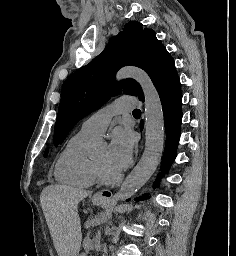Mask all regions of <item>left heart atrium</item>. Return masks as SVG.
I'll return each mask as SVG.
<instances>
[{
    "label": "left heart atrium",
    "mask_w": 236,
    "mask_h": 256,
    "mask_svg": "<svg viewBox=\"0 0 236 256\" xmlns=\"http://www.w3.org/2000/svg\"><path fill=\"white\" fill-rule=\"evenodd\" d=\"M133 136L121 128L115 129L107 151V164L109 168L119 173L129 163L133 152Z\"/></svg>",
    "instance_id": "obj_1"
}]
</instances>
